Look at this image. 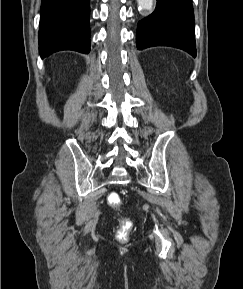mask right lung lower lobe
<instances>
[{
    "label": "right lung lower lobe",
    "mask_w": 243,
    "mask_h": 289,
    "mask_svg": "<svg viewBox=\"0 0 243 289\" xmlns=\"http://www.w3.org/2000/svg\"><path fill=\"white\" fill-rule=\"evenodd\" d=\"M89 0H42L39 53L90 51Z\"/></svg>",
    "instance_id": "98d812e1"
}]
</instances>
